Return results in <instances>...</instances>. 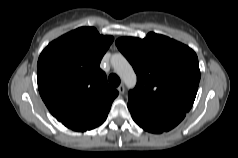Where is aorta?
<instances>
[{"label": "aorta", "instance_id": "1", "mask_svg": "<svg viewBox=\"0 0 238 158\" xmlns=\"http://www.w3.org/2000/svg\"><path fill=\"white\" fill-rule=\"evenodd\" d=\"M111 63L116 73L122 78L127 87L133 88L136 84V74L128 61L121 54H114Z\"/></svg>", "mask_w": 238, "mask_h": 158}]
</instances>
